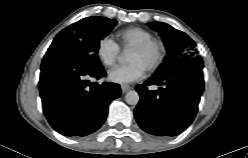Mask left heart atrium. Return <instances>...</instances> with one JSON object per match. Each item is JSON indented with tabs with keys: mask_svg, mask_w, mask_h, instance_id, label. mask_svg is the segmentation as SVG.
I'll return each instance as SVG.
<instances>
[{
	"mask_svg": "<svg viewBox=\"0 0 248 158\" xmlns=\"http://www.w3.org/2000/svg\"><path fill=\"white\" fill-rule=\"evenodd\" d=\"M146 68L139 62H132L126 66L114 68L109 72V80L114 83L128 84L141 80Z\"/></svg>",
	"mask_w": 248,
	"mask_h": 158,
	"instance_id": "left-heart-atrium-1",
	"label": "left heart atrium"
}]
</instances>
